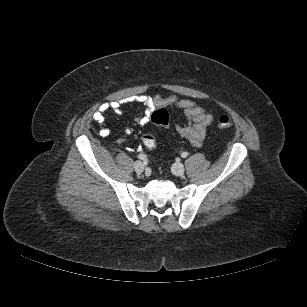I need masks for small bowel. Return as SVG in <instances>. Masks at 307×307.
Returning <instances> with one entry per match:
<instances>
[{"mask_svg": "<svg viewBox=\"0 0 307 307\" xmlns=\"http://www.w3.org/2000/svg\"><path fill=\"white\" fill-rule=\"evenodd\" d=\"M133 102H136L144 107V110L135 118L140 125H146L151 118L153 111L161 107H174L182 110L187 118V122L176 125L177 133L186 139L193 146L199 147L202 145L208 127L212 124L214 118L203 107L198 105L194 100L183 99L177 95L161 96V95H140L135 97ZM126 102L112 101L103 103L93 113V120L101 126L100 135L104 138L110 136V130L105 126V115L108 111H113L117 114H123L122 106ZM126 134H131L132 129L126 128Z\"/></svg>", "mask_w": 307, "mask_h": 307, "instance_id": "obj_1", "label": "small bowel"}]
</instances>
